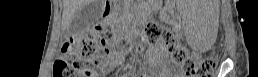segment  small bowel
<instances>
[{
	"label": "small bowel",
	"instance_id": "small-bowel-1",
	"mask_svg": "<svg viewBox=\"0 0 258 77\" xmlns=\"http://www.w3.org/2000/svg\"><path fill=\"white\" fill-rule=\"evenodd\" d=\"M154 50L156 51H154L150 57L152 63H154V61H156V59L158 58L157 49ZM123 55L124 54L121 52H115L109 54L106 57H103L100 63V71L96 74V76H105L113 71L121 63ZM152 69L153 66H147L144 73H149Z\"/></svg>",
	"mask_w": 258,
	"mask_h": 77
}]
</instances>
